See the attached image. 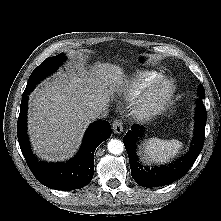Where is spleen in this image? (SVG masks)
Here are the masks:
<instances>
[{
  "mask_svg": "<svg viewBox=\"0 0 221 221\" xmlns=\"http://www.w3.org/2000/svg\"><path fill=\"white\" fill-rule=\"evenodd\" d=\"M182 148V143L176 139L162 140L150 138L143 143V153L146 159L155 163H167L173 159Z\"/></svg>",
  "mask_w": 221,
  "mask_h": 221,
  "instance_id": "spleen-1",
  "label": "spleen"
}]
</instances>
